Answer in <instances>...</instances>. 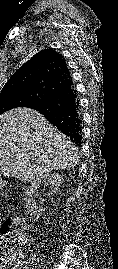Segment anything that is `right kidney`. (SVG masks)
Masks as SVG:
<instances>
[{
    "mask_svg": "<svg viewBox=\"0 0 118 269\" xmlns=\"http://www.w3.org/2000/svg\"><path fill=\"white\" fill-rule=\"evenodd\" d=\"M63 182V178L58 173H46L39 176L36 180H34L30 186H28L25 190V208L30 216L34 220H38L41 213L42 208L36 205L34 200V192L38 188L39 185H48L49 186V195H55Z\"/></svg>",
    "mask_w": 118,
    "mask_h": 269,
    "instance_id": "1",
    "label": "right kidney"
}]
</instances>
